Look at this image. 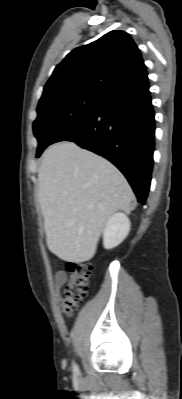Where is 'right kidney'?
<instances>
[{"label":"right kidney","instance_id":"ca27d5eb","mask_svg":"<svg viewBox=\"0 0 182 399\" xmlns=\"http://www.w3.org/2000/svg\"><path fill=\"white\" fill-rule=\"evenodd\" d=\"M130 231V220L124 213L112 215L106 222L103 231V245L106 249L118 246Z\"/></svg>","mask_w":182,"mask_h":399}]
</instances>
